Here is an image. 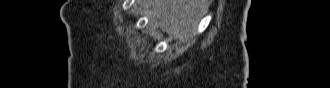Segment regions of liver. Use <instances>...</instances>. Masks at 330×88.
Here are the masks:
<instances>
[{"instance_id": "1", "label": "liver", "mask_w": 330, "mask_h": 88, "mask_svg": "<svg viewBox=\"0 0 330 88\" xmlns=\"http://www.w3.org/2000/svg\"><path fill=\"white\" fill-rule=\"evenodd\" d=\"M150 20L171 38L185 40L192 36L198 18L208 8V0L147 1Z\"/></svg>"}]
</instances>
